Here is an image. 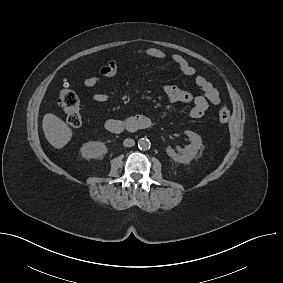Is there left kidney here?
Here are the masks:
<instances>
[{
    "mask_svg": "<svg viewBox=\"0 0 283 283\" xmlns=\"http://www.w3.org/2000/svg\"><path fill=\"white\" fill-rule=\"evenodd\" d=\"M185 134L189 137L191 143L187 145L184 150L181 151V154L176 153L175 150L171 147H167L166 152L168 156L171 157L175 162L188 164L201 149L202 139L200 135L190 130L185 131Z\"/></svg>",
    "mask_w": 283,
    "mask_h": 283,
    "instance_id": "1",
    "label": "left kidney"
}]
</instances>
